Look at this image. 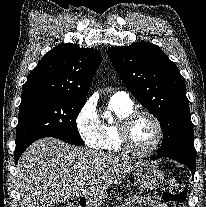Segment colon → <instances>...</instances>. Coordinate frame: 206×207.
I'll use <instances>...</instances> for the list:
<instances>
[{
    "label": "colon",
    "instance_id": "1",
    "mask_svg": "<svg viewBox=\"0 0 206 207\" xmlns=\"http://www.w3.org/2000/svg\"><path fill=\"white\" fill-rule=\"evenodd\" d=\"M186 190L184 188L182 179L179 176L169 177L164 185L162 191V198L168 207H183L186 200ZM61 207H77L74 204H64Z\"/></svg>",
    "mask_w": 206,
    "mask_h": 207
}]
</instances>
